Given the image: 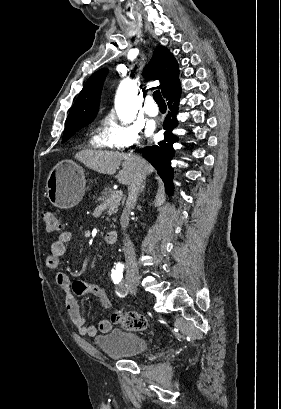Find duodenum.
Instances as JSON below:
<instances>
[{
  "label": "duodenum",
  "mask_w": 281,
  "mask_h": 409,
  "mask_svg": "<svg viewBox=\"0 0 281 409\" xmlns=\"http://www.w3.org/2000/svg\"><path fill=\"white\" fill-rule=\"evenodd\" d=\"M118 239V233L115 231H109L105 234V241L108 244H115Z\"/></svg>",
  "instance_id": "duodenum-1"
}]
</instances>
